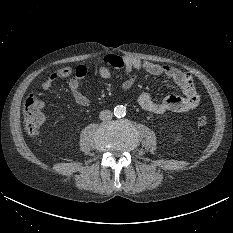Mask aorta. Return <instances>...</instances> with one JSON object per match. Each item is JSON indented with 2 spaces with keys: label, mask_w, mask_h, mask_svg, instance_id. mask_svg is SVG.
<instances>
[{
  "label": "aorta",
  "mask_w": 233,
  "mask_h": 233,
  "mask_svg": "<svg viewBox=\"0 0 233 233\" xmlns=\"http://www.w3.org/2000/svg\"><path fill=\"white\" fill-rule=\"evenodd\" d=\"M114 115L118 118L124 117L126 115V108L122 105H118L114 108Z\"/></svg>",
  "instance_id": "762f6f07"
}]
</instances>
